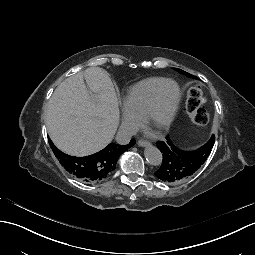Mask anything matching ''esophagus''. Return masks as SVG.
Wrapping results in <instances>:
<instances>
[{"instance_id": "esophagus-1", "label": "esophagus", "mask_w": 255, "mask_h": 255, "mask_svg": "<svg viewBox=\"0 0 255 255\" xmlns=\"http://www.w3.org/2000/svg\"><path fill=\"white\" fill-rule=\"evenodd\" d=\"M138 145L141 147H148V146H150V143L147 141H144V140H139Z\"/></svg>"}]
</instances>
